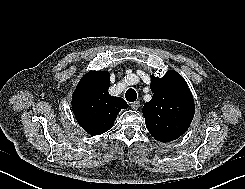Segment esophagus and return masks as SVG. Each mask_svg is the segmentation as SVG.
Segmentation results:
<instances>
[{
	"label": "esophagus",
	"instance_id": "obj_1",
	"mask_svg": "<svg viewBox=\"0 0 245 189\" xmlns=\"http://www.w3.org/2000/svg\"><path fill=\"white\" fill-rule=\"evenodd\" d=\"M131 108L133 109V110H137V109H139V107H140V102L139 101H135V102H133V103H131Z\"/></svg>",
	"mask_w": 245,
	"mask_h": 189
}]
</instances>
